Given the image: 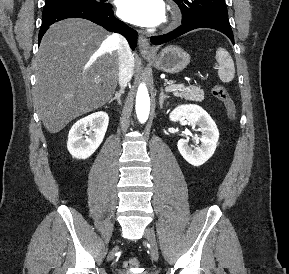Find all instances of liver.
I'll return each instance as SVG.
<instances>
[{"instance_id":"1","label":"liver","mask_w":289,"mask_h":274,"mask_svg":"<svg viewBox=\"0 0 289 274\" xmlns=\"http://www.w3.org/2000/svg\"><path fill=\"white\" fill-rule=\"evenodd\" d=\"M84 19H67L45 33L35 58L34 102L48 132L105 105L119 74L117 45Z\"/></svg>"}]
</instances>
